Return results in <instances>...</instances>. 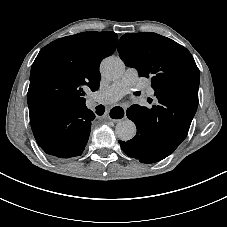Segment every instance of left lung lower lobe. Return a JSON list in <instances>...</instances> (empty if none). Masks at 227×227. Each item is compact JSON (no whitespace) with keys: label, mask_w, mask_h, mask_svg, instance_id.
<instances>
[{"label":"left lung lower lobe","mask_w":227,"mask_h":227,"mask_svg":"<svg viewBox=\"0 0 227 227\" xmlns=\"http://www.w3.org/2000/svg\"><path fill=\"white\" fill-rule=\"evenodd\" d=\"M127 117L137 127L136 136L119 141L122 150L142 163L158 162L170 155L187 136L193 116L181 107L132 105Z\"/></svg>","instance_id":"1"}]
</instances>
